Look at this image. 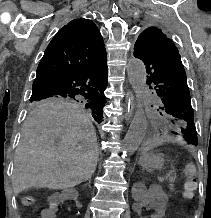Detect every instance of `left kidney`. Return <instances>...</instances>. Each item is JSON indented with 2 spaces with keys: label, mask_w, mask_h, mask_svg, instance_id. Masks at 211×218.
Instances as JSON below:
<instances>
[{
  "label": "left kidney",
  "mask_w": 211,
  "mask_h": 218,
  "mask_svg": "<svg viewBox=\"0 0 211 218\" xmlns=\"http://www.w3.org/2000/svg\"><path fill=\"white\" fill-rule=\"evenodd\" d=\"M170 211V207H165V198H148V194L147 198H139L134 207V215H149L150 218H165Z\"/></svg>",
  "instance_id": "1"
}]
</instances>
